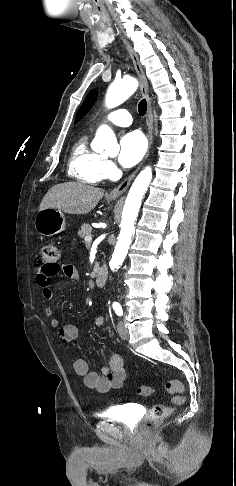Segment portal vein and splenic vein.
I'll list each match as a JSON object with an SVG mask.
<instances>
[{
    "label": "portal vein and splenic vein",
    "instance_id": "1",
    "mask_svg": "<svg viewBox=\"0 0 236 486\" xmlns=\"http://www.w3.org/2000/svg\"><path fill=\"white\" fill-rule=\"evenodd\" d=\"M84 240H85L86 243H90L92 241V237L89 236V235L85 236Z\"/></svg>",
    "mask_w": 236,
    "mask_h": 486
}]
</instances>
